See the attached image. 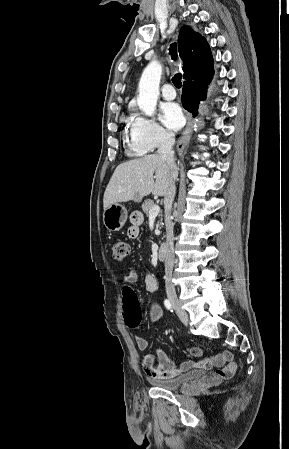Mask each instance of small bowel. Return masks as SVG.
Here are the masks:
<instances>
[{
  "mask_svg": "<svg viewBox=\"0 0 289 449\" xmlns=\"http://www.w3.org/2000/svg\"><path fill=\"white\" fill-rule=\"evenodd\" d=\"M142 217L138 214L131 216V226L128 228L127 235L130 239H137L140 232V224ZM138 279L137 272L129 268L123 278L124 291L130 289V285L134 284ZM145 288L149 292H155L158 289V280L155 275L149 273L145 277ZM162 316V309L159 304L152 305L149 317L152 323L157 322ZM135 328V327H132ZM137 347L145 351L148 349V342L141 336L134 338ZM188 352L194 357H201L202 350L198 347L188 349ZM142 367L145 373L151 378H173L190 369H212L217 368L216 376L218 378H230L236 370L237 364L233 359L230 351H223L217 355L201 358L198 360L185 361L180 365H176L170 356L162 349L156 350V357L151 353H146L142 357Z\"/></svg>",
  "mask_w": 289,
  "mask_h": 449,
  "instance_id": "c3829d8e",
  "label": "small bowel"
}]
</instances>
